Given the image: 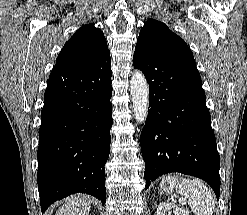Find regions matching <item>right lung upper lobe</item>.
Masks as SVG:
<instances>
[{
    "label": "right lung upper lobe",
    "instance_id": "1",
    "mask_svg": "<svg viewBox=\"0 0 247 215\" xmlns=\"http://www.w3.org/2000/svg\"><path fill=\"white\" fill-rule=\"evenodd\" d=\"M109 55L103 32L94 24L84 25L65 43L56 64L70 67H88Z\"/></svg>",
    "mask_w": 247,
    "mask_h": 215
}]
</instances>
